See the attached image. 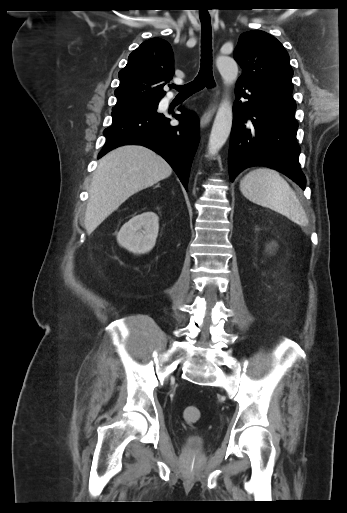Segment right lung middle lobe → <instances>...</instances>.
<instances>
[{"mask_svg":"<svg viewBox=\"0 0 347 513\" xmlns=\"http://www.w3.org/2000/svg\"><path fill=\"white\" fill-rule=\"evenodd\" d=\"M158 99L144 100L130 105L115 106L112 109V116L156 110Z\"/></svg>","mask_w":347,"mask_h":513,"instance_id":"dd1d6c3e","label":"right lung middle lobe"}]
</instances>
